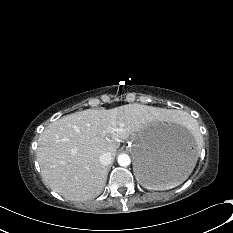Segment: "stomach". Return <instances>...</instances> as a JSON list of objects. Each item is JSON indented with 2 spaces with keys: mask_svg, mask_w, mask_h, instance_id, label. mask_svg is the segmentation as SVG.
<instances>
[{
  "mask_svg": "<svg viewBox=\"0 0 233 233\" xmlns=\"http://www.w3.org/2000/svg\"><path fill=\"white\" fill-rule=\"evenodd\" d=\"M130 149L137 180L152 189L184 181L198 157L196 142L189 134L156 123L136 131Z\"/></svg>",
  "mask_w": 233,
  "mask_h": 233,
  "instance_id": "1",
  "label": "stomach"
}]
</instances>
